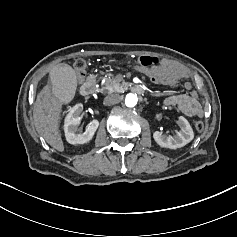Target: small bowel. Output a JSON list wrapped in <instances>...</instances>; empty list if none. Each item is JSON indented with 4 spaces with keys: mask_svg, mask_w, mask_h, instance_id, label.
<instances>
[{
    "mask_svg": "<svg viewBox=\"0 0 237 237\" xmlns=\"http://www.w3.org/2000/svg\"><path fill=\"white\" fill-rule=\"evenodd\" d=\"M136 69L149 78L153 75V70L143 68L138 64L136 65ZM161 69L170 78L169 84L189 77V72L183 66L172 61H163ZM184 86L186 89H191V83L189 81H186ZM165 104L176 106L184 114L190 117L201 118L205 115V111L195 91L188 94L171 95L165 99Z\"/></svg>",
    "mask_w": 237,
    "mask_h": 237,
    "instance_id": "obj_1",
    "label": "small bowel"
}]
</instances>
